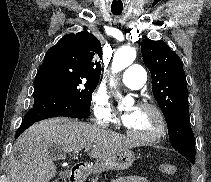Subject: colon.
Segmentation results:
<instances>
[{
    "mask_svg": "<svg viewBox=\"0 0 211 182\" xmlns=\"http://www.w3.org/2000/svg\"><path fill=\"white\" fill-rule=\"evenodd\" d=\"M159 171L164 175L173 176L177 173V168H176V166H174L172 164H161L159 166ZM53 182H65V181L62 179H58Z\"/></svg>",
    "mask_w": 211,
    "mask_h": 182,
    "instance_id": "1",
    "label": "colon"
}]
</instances>
